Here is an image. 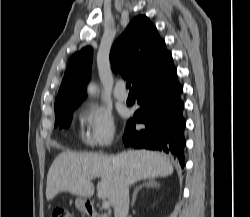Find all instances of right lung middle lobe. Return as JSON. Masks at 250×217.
<instances>
[{"label": "right lung middle lobe", "mask_w": 250, "mask_h": 217, "mask_svg": "<svg viewBox=\"0 0 250 217\" xmlns=\"http://www.w3.org/2000/svg\"><path fill=\"white\" fill-rule=\"evenodd\" d=\"M73 111V110H72ZM72 111L61 113L55 116V127L60 126V128H68L71 123V115Z\"/></svg>", "instance_id": "dd1d6c3e"}]
</instances>
